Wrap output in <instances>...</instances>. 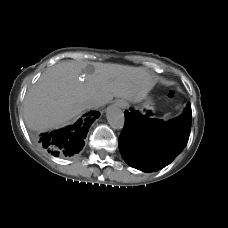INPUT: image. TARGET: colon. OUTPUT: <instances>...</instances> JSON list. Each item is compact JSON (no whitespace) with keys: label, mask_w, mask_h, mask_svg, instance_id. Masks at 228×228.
<instances>
[{"label":"colon","mask_w":228,"mask_h":228,"mask_svg":"<svg viewBox=\"0 0 228 228\" xmlns=\"http://www.w3.org/2000/svg\"><path fill=\"white\" fill-rule=\"evenodd\" d=\"M173 95H174V92L172 91V92L170 93V97H173Z\"/></svg>","instance_id":"colon-1"}]
</instances>
